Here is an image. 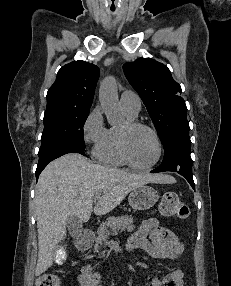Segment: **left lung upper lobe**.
<instances>
[{
    "instance_id": "5c2ea615",
    "label": "left lung upper lobe",
    "mask_w": 231,
    "mask_h": 286,
    "mask_svg": "<svg viewBox=\"0 0 231 286\" xmlns=\"http://www.w3.org/2000/svg\"><path fill=\"white\" fill-rule=\"evenodd\" d=\"M123 70L143 100L163 144L176 134L189 132L187 107L179 96L181 87L165 65L140 58L124 64Z\"/></svg>"
}]
</instances>
